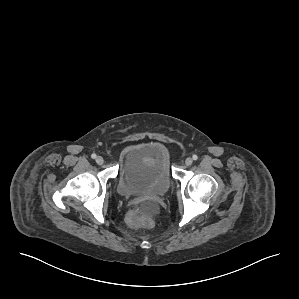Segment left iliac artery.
I'll use <instances>...</instances> for the list:
<instances>
[{
	"instance_id": "1",
	"label": "left iliac artery",
	"mask_w": 299,
	"mask_h": 299,
	"mask_svg": "<svg viewBox=\"0 0 299 299\" xmlns=\"http://www.w3.org/2000/svg\"><path fill=\"white\" fill-rule=\"evenodd\" d=\"M192 158H193V160H197L198 156L197 155H193Z\"/></svg>"
}]
</instances>
